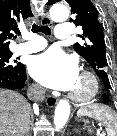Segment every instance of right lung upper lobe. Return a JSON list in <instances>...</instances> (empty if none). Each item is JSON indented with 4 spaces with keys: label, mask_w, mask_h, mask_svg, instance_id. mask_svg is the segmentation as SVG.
Returning <instances> with one entry per match:
<instances>
[{
    "label": "right lung upper lobe",
    "mask_w": 117,
    "mask_h": 136,
    "mask_svg": "<svg viewBox=\"0 0 117 136\" xmlns=\"http://www.w3.org/2000/svg\"><path fill=\"white\" fill-rule=\"evenodd\" d=\"M31 16L29 0H0V53L10 52L9 40L20 33L18 24Z\"/></svg>",
    "instance_id": "obj_1"
}]
</instances>
